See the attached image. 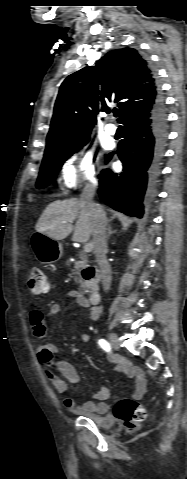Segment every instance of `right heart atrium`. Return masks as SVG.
<instances>
[{"instance_id": "d8ad5b80", "label": "right heart atrium", "mask_w": 187, "mask_h": 479, "mask_svg": "<svg viewBox=\"0 0 187 479\" xmlns=\"http://www.w3.org/2000/svg\"><path fill=\"white\" fill-rule=\"evenodd\" d=\"M97 180V159L94 151L89 148L65 160L58 175L59 187L63 191H69L82 182L95 184Z\"/></svg>"}]
</instances>
